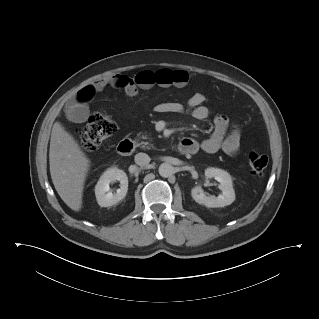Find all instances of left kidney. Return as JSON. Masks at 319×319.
Instances as JSON below:
<instances>
[{
    "mask_svg": "<svg viewBox=\"0 0 319 319\" xmlns=\"http://www.w3.org/2000/svg\"><path fill=\"white\" fill-rule=\"evenodd\" d=\"M206 178H214L220 183L218 186L222 191L218 197L205 195L201 186L192 189V198L199 204L210 208L224 207L230 205L235 200V192L232 185V179L228 172L210 167L205 170Z\"/></svg>",
    "mask_w": 319,
    "mask_h": 319,
    "instance_id": "1",
    "label": "left kidney"
}]
</instances>
